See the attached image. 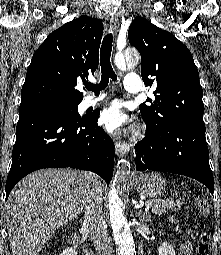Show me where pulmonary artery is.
Listing matches in <instances>:
<instances>
[{"mask_svg": "<svg viewBox=\"0 0 221 255\" xmlns=\"http://www.w3.org/2000/svg\"><path fill=\"white\" fill-rule=\"evenodd\" d=\"M141 77L138 74L134 73H129L125 76V81H124V88L128 92H139L141 90ZM106 94L101 93L98 96H89L86 99V105L90 106L93 104H96L100 101H102L105 98Z\"/></svg>", "mask_w": 221, "mask_h": 255, "instance_id": "pulmonary-artery-1", "label": "pulmonary artery"}]
</instances>
